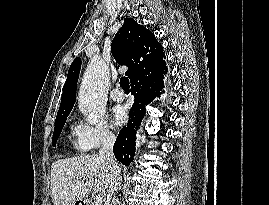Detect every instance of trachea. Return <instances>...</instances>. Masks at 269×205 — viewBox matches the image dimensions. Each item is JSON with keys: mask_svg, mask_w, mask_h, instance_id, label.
<instances>
[{"mask_svg": "<svg viewBox=\"0 0 269 205\" xmlns=\"http://www.w3.org/2000/svg\"><path fill=\"white\" fill-rule=\"evenodd\" d=\"M120 86L122 87V89L125 92H129L130 91V89H129V79L127 77H122L120 79Z\"/></svg>", "mask_w": 269, "mask_h": 205, "instance_id": "obj_1", "label": "trachea"}]
</instances>
